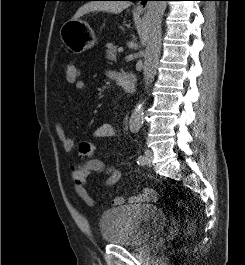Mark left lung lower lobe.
<instances>
[{
  "instance_id": "0a47b994",
  "label": "left lung lower lobe",
  "mask_w": 245,
  "mask_h": 265,
  "mask_svg": "<svg viewBox=\"0 0 245 265\" xmlns=\"http://www.w3.org/2000/svg\"><path fill=\"white\" fill-rule=\"evenodd\" d=\"M129 1H138V0H129Z\"/></svg>"
}]
</instances>
